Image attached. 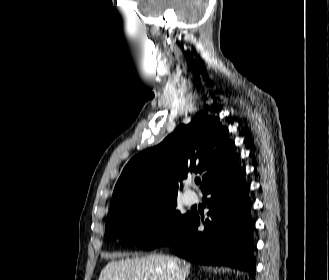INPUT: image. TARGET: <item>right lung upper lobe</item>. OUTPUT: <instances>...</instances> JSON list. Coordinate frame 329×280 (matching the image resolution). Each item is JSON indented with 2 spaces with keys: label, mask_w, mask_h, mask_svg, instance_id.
Returning <instances> with one entry per match:
<instances>
[{
  "label": "right lung upper lobe",
  "mask_w": 329,
  "mask_h": 280,
  "mask_svg": "<svg viewBox=\"0 0 329 280\" xmlns=\"http://www.w3.org/2000/svg\"><path fill=\"white\" fill-rule=\"evenodd\" d=\"M233 147L219 118L199 112L188 125H179L162 143L128 162L116 183L110 212L143 197H177L179 182L188 172L204 174L203 190L238 165Z\"/></svg>",
  "instance_id": "obj_1"
}]
</instances>
